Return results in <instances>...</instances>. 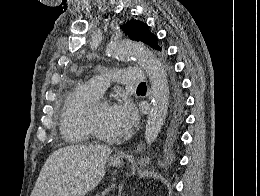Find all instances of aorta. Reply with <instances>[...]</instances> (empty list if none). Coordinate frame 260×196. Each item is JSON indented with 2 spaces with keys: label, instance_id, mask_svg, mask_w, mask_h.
Returning a JSON list of instances; mask_svg holds the SVG:
<instances>
[{
  "label": "aorta",
  "instance_id": "aorta-1",
  "mask_svg": "<svg viewBox=\"0 0 260 196\" xmlns=\"http://www.w3.org/2000/svg\"><path fill=\"white\" fill-rule=\"evenodd\" d=\"M107 54L120 59L135 58L149 77L152 89V107L146 124L145 139L150 145L156 139L167 114L168 82L164 67L151 50L140 43L128 40L111 43ZM138 163L140 165L144 163V160L141 159Z\"/></svg>",
  "mask_w": 260,
  "mask_h": 196
}]
</instances>
